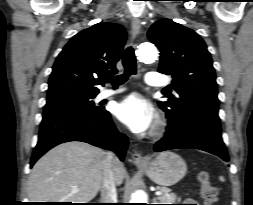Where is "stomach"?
Instances as JSON below:
<instances>
[{"instance_id": "1", "label": "stomach", "mask_w": 253, "mask_h": 205, "mask_svg": "<svg viewBox=\"0 0 253 205\" xmlns=\"http://www.w3.org/2000/svg\"><path fill=\"white\" fill-rule=\"evenodd\" d=\"M149 178L161 186H171L180 181L187 172L185 161L171 151L162 152L152 161L139 165Z\"/></svg>"}]
</instances>
